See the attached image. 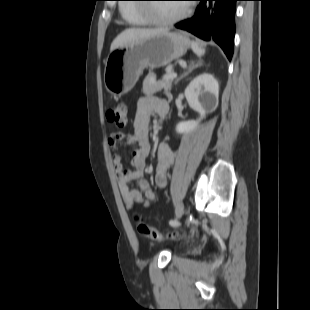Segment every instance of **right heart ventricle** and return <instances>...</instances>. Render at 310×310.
<instances>
[{
  "mask_svg": "<svg viewBox=\"0 0 310 310\" xmlns=\"http://www.w3.org/2000/svg\"><path fill=\"white\" fill-rule=\"evenodd\" d=\"M120 13L123 19L131 26H143L151 22L142 9L135 5L122 4L120 6Z\"/></svg>",
  "mask_w": 310,
  "mask_h": 310,
  "instance_id": "1",
  "label": "right heart ventricle"
}]
</instances>
